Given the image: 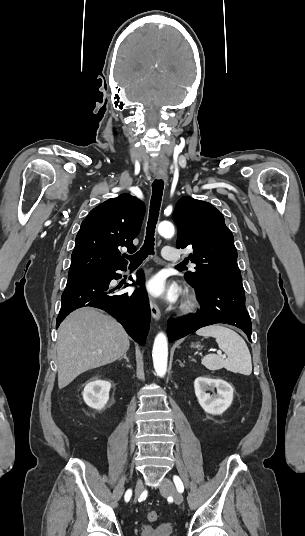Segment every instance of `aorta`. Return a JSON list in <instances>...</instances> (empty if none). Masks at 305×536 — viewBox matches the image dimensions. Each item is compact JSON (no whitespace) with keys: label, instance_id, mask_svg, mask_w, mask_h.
I'll use <instances>...</instances> for the list:
<instances>
[{"label":"aorta","instance_id":"aorta-1","mask_svg":"<svg viewBox=\"0 0 305 536\" xmlns=\"http://www.w3.org/2000/svg\"><path fill=\"white\" fill-rule=\"evenodd\" d=\"M174 231V226L171 222L164 221L158 225V233L163 237H172ZM152 358L156 374L159 377H164L167 371L168 342L163 332L158 333L155 337Z\"/></svg>","mask_w":305,"mask_h":536}]
</instances>
